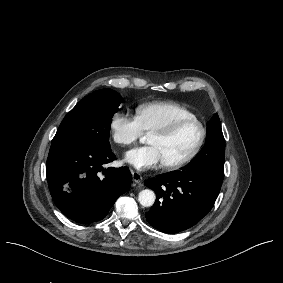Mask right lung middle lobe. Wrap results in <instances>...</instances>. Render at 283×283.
I'll return each mask as SVG.
<instances>
[{"mask_svg": "<svg viewBox=\"0 0 283 283\" xmlns=\"http://www.w3.org/2000/svg\"><path fill=\"white\" fill-rule=\"evenodd\" d=\"M121 102V96L111 89L89 94L65 116L51 146L84 144L110 149L112 117Z\"/></svg>", "mask_w": 283, "mask_h": 283, "instance_id": "right-lung-middle-lobe-1", "label": "right lung middle lobe"}]
</instances>
